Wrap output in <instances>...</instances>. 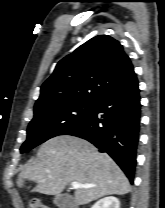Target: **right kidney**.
Wrapping results in <instances>:
<instances>
[{
  "instance_id": "right-kidney-1",
  "label": "right kidney",
  "mask_w": 165,
  "mask_h": 208,
  "mask_svg": "<svg viewBox=\"0 0 165 208\" xmlns=\"http://www.w3.org/2000/svg\"><path fill=\"white\" fill-rule=\"evenodd\" d=\"M92 208H120V202L116 197H105L96 202Z\"/></svg>"
}]
</instances>
